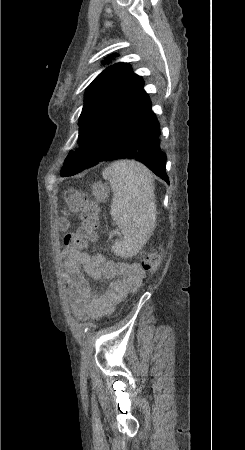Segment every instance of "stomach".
Masks as SVG:
<instances>
[{
	"instance_id": "stomach-1",
	"label": "stomach",
	"mask_w": 245,
	"mask_h": 450,
	"mask_svg": "<svg viewBox=\"0 0 245 450\" xmlns=\"http://www.w3.org/2000/svg\"><path fill=\"white\" fill-rule=\"evenodd\" d=\"M92 194L99 202H105L109 195V188L102 182H97L92 185Z\"/></svg>"
}]
</instances>
